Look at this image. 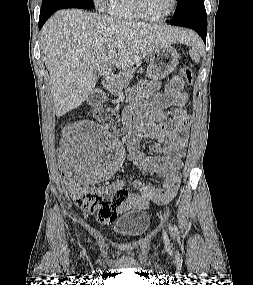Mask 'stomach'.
<instances>
[{
  "label": "stomach",
  "mask_w": 253,
  "mask_h": 285,
  "mask_svg": "<svg viewBox=\"0 0 253 285\" xmlns=\"http://www.w3.org/2000/svg\"><path fill=\"white\" fill-rule=\"evenodd\" d=\"M147 74L154 79L166 77L179 63L180 54L170 44L160 45L149 54Z\"/></svg>",
  "instance_id": "stomach-1"
}]
</instances>
